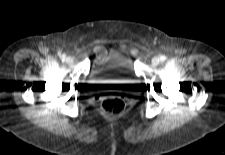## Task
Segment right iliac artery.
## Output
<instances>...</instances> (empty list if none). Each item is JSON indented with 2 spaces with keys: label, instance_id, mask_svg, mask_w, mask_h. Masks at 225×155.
<instances>
[{
  "label": "right iliac artery",
  "instance_id": "1",
  "mask_svg": "<svg viewBox=\"0 0 225 155\" xmlns=\"http://www.w3.org/2000/svg\"><path fill=\"white\" fill-rule=\"evenodd\" d=\"M60 58H61L62 60H65V58H66L65 54L60 55Z\"/></svg>",
  "mask_w": 225,
  "mask_h": 155
}]
</instances>
